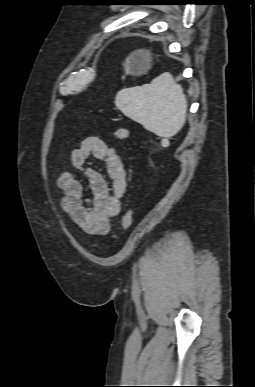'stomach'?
Returning <instances> with one entry per match:
<instances>
[{
  "mask_svg": "<svg viewBox=\"0 0 255 387\" xmlns=\"http://www.w3.org/2000/svg\"><path fill=\"white\" fill-rule=\"evenodd\" d=\"M151 64L152 57L150 52L146 50H137L127 57L124 68L128 74L142 75L151 68Z\"/></svg>",
  "mask_w": 255,
  "mask_h": 387,
  "instance_id": "1",
  "label": "stomach"
}]
</instances>
